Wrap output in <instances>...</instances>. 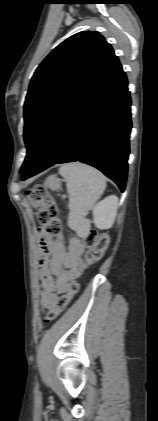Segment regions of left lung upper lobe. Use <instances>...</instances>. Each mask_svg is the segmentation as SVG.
Listing matches in <instances>:
<instances>
[{
	"instance_id": "obj_1",
	"label": "left lung upper lobe",
	"mask_w": 158,
	"mask_h": 421,
	"mask_svg": "<svg viewBox=\"0 0 158 421\" xmlns=\"http://www.w3.org/2000/svg\"><path fill=\"white\" fill-rule=\"evenodd\" d=\"M115 56L98 32H79L58 45L36 69L24 104L27 156L20 173L35 160L52 125L98 70Z\"/></svg>"
}]
</instances>
